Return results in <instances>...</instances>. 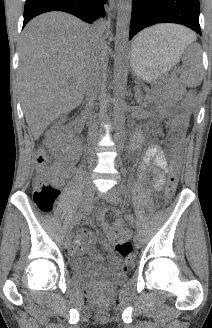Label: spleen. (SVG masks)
Segmentation results:
<instances>
[{
	"mask_svg": "<svg viewBox=\"0 0 212 328\" xmlns=\"http://www.w3.org/2000/svg\"><path fill=\"white\" fill-rule=\"evenodd\" d=\"M148 41L145 37V31L140 33L138 37L135 40V45L137 48H142L147 45ZM186 47V45H185ZM195 48H197L198 52L196 54V57L193 59H190V50L187 51V55L184 58V63H185V70L181 76L182 82L184 85L188 87H196L198 86L202 79H203V74L201 71L200 67V62H199V54H200V47L199 45L195 44Z\"/></svg>",
	"mask_w": 212,
	"mask_h": 328,
	"instance_id": "1",
	"label": "spleen"
}]
</instances>
